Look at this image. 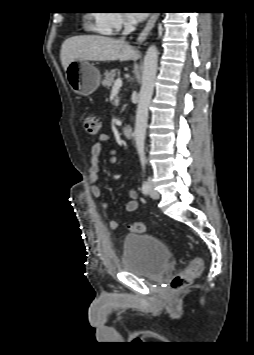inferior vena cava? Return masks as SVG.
I'll list each match as a JSON object with an SVG mask.
<instances>
[{
  "label": "inferior vena cava",
  "instance_id": "obj_1",
  "mask_svg": "<svg viewBox=\"0 0 254 355\" xmlns=\"http://www.w3.org/2000/svg\"><path fill=\"white\" fill-rule=\"evenodd\" d=\"M134 30H135V27L130 21L124 22V31L122 33L124 36L128 35L129 33H131ZM124 39H125V37H122L123 41H124Z\"/></svg>",
  "mask_w": 254,
  "mask_h": 355
}]
</instances>
